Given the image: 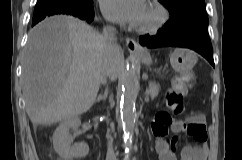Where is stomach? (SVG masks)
<instances>
[{
  "label": "stomach",
  "instance_id": "0dacf381",
  "mask_svg": "<svg viewBox=\"0 0 242 160\" xmlns=\"http://www.w3.org/2000/svg\"><path fill=\"white\" fill-rule=\"evenodd\" d=\"M139 59L148 66L152 64V60L149 55L139 56ZM196 62V54L189 49L176 48L170 55V63L173 69L180 74L190 72Z\"/></svg>",
  "mask_w": 242,
  "mask_h": 160
}]
</instances>
